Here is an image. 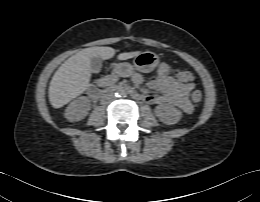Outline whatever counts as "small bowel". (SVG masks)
Here are the masks:
<instances>
[{"label":"small bowel","mask_w":260,"mask_h":202,"mask_svg":"<svg viewBox=\"0 0 260 202\" xmlns=\"http://www.w3.org/2000/svg\"><path fill=\"white\" fill-rule=\"evenodd\" d=\"M129 78L135 84H141L142 76L137 72H131ZM119 79L117 74H111L102 80L113 83ZM150 89L157 91L160 95H142V100L151 104L168 103L179 107L185 114L193 111V106L188 100L189 92L194 88L193 83H180L170 75V66L162 63L157 70V78L148 83Z\"/></svg>","instance_id":"small-bowel-1"}]
</instances>
